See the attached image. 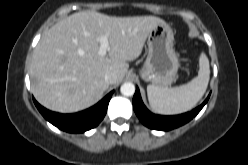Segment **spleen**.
Instances as JSON below:
<instances>
[{"mask_svg": "<svg viewBox=\"0 0 248 165\" xmlns=\"http://www.w3.org/2000/svg\"><path fill=\"white\" fill-rule=\"evenodd\" d=\"M210 79L209 60L205 53L199 57L198 76L187 84L174 88L147 86L149 104L155 113L180 114L191 110L206 92Z\"/></svg>", "mask_w": 248, "mask_h": 165, "instance_id": "3e777b00", "label": "spleen"}]
</instances>
